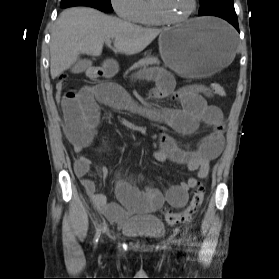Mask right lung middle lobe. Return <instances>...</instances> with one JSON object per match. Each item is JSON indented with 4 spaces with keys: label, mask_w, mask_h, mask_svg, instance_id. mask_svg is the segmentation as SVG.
<instances>
[{
    "label": "right lung middle lobe",
    "mask_w": 279,
    "mask_h": 279,
    "mask_svg": "<svg viewBox=\"0 0 279 279\" xmlns=\"http://www.w3.org/2000/svg\"><path fill=\"white\" fill-rule=\"evenodd\" d=\"M105 11L112 12V6L110 0H95Z\"/></svg>",
    "instance_id": "obj_1"
}]
</instances>
